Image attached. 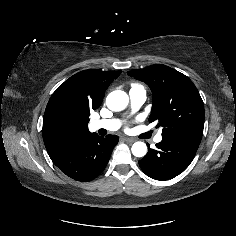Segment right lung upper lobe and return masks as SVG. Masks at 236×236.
<instances>
[{"label":"right lung upper lobe","mask_w":236,"mask_h":236,"mask_svg":"<svg viewBox=\"0 0 236 236\" xmlns=\"http://www.w3.org/2000/svg\"><path fill=\"white\" fill-rule=\"evenodd\" d=\"M121 71L84 70L52 94L43 117V140L51 160L86 139L90 111L100 107L106 89Z\"/></svg>","instance_id":"obj_1"}]
</instances>
